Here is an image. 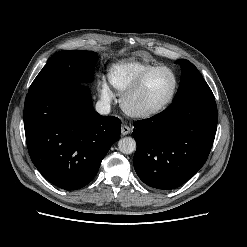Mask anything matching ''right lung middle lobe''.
<instances>
[{"label": "right lung middle lobe", "mask_w": 247, "mask_h": 247, "mask_svg": "<svg viewBox=\"0 0 247 247\" xmlns=\"http://www.w3.org/2000/svg\"><path fill=\"white\" fill-rule=\"evenodd\" d=\"M96 59L97 53L92 51H59L49 59L29 91L52 85L90 82L94 78Z\"/></svg>", "instance_id": "obj_1"}]
</instances>
